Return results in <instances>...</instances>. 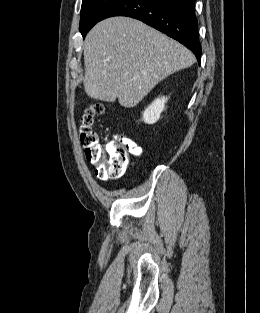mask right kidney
I'll list each match as a JSON object with an SVG mask.
<instances>
[{
	"mask_svg": "<svg viewBox=\"0 0 260 313\" xmlns=\"http://www.w3.org/2000/svg\"><path fill=\"white\" fill-rule=\"evenodd\" d=\"M168 98L167 97H161L155 99L152 104L149 105L148 108L145 109L143 112V120L147 124H154L156 123L159 118L160 114L164 111L165 109V103L167 102Z\"/></svg>",
	"mask_w": 260,
	"mask_h": 313,
	"instance_id": "right-kidney-1",
	"label": "right kidney"
}]
</instances>
